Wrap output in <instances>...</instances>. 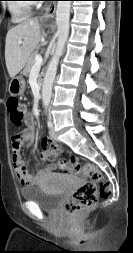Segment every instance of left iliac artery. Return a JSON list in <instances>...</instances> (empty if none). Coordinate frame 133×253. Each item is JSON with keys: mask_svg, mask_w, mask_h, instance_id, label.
I'll return each instance as SVG.
<instances>
[{"mask_svg": "<svg viewBox=\"0 0 133 253\" xmlns=\"http://www.w3.org/2000/svg\"><path fill=\"white\" fill-rule=\"evenodd\" d=\"M48 127L51 128L52 127V121H51V117L50 115L48 116V121H47Z\"/></svg>", "mask_w": 133, "mask_h": 253, "instance_id": "1", "label": "left iliac artery"}]
</instances>
